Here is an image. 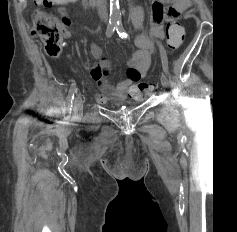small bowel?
<instances>
[{
  "label": "small bowel",
  "instance_id": "1",
  "mask_svg": "<svg viewBox=\"0 0 237 232\" xmlns=\"http://www.w3.org/2000/svg\"><path fill=\"white\" fill-rule=\"evenodd\" d=\"M63 4L75 3L78 0H65ZM191 0H152L151 2V27L148 33L143 32L142 17L138 10H132V22L137 31L136 43L138 49L127 60L126 78L116 85L108 80L111 65L108 59L102 58V50L96 43L91 44L90 51L94 58L100 59L98 65L92 68L91 75L97 82L99 93L97 102L104 104L110 100L123 101L130 97L142 101L150 90L141 79L148 73L155 54V40L164 39V23L176 21L187 9ZM62 15L66 14L65 8H60ZM65 35L69 32L64 29Z\"/></svg>",
  "mask_w": 237,
  "mask_h": 232
}]
</instances>
